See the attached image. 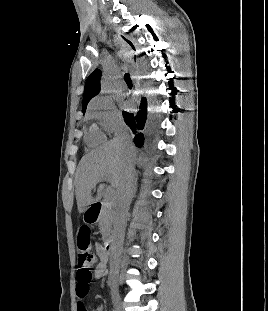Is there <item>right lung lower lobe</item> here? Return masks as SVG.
<instances>
[{
	"label": "right lung lower lobe",
	"mask_w": 268,
	"mask_h": 311,
	"mask_svg": "<svg viewBox=\"0 0 268 311\" xmlns=\"http://www.w3.org/2000/svg\"><path fill=\"white\" fill-rule=\"evenodd\" d=\"M123 117L134 134L135 145L143 147L157 129V120L154 114L148 111L147 99L142 97L137 112L123 111Z\"/></svg>",
	"instance_id": "1"
}]
</instances>
